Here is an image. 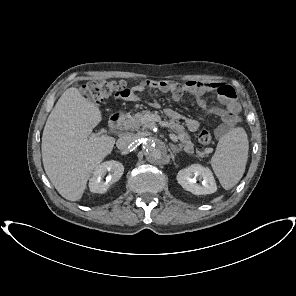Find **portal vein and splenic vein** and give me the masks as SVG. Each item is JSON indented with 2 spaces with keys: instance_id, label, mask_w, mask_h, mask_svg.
Masks as SVG:
<instances>
[{
  "instance_id": "1",
  "label": "portal vein and splenic vein",
  "mask_w": 296,
  "mask_h": 296,
  "mask_svg": "<svg viewBox=\"0 0 296 296\" xmlns=\"http://www.w3.org/2000/svg\"><path fill=\"white\" fill-rule=\"evenodd\" d=\"M151 121H156V122H161L159 116L157 115H146L142 118V122L144 124L151 122ZM170 139L174 142L178 141V137L175 134H170ZM205 153H208V151L206 150Z\"/></svg>"
}]
</instances>
